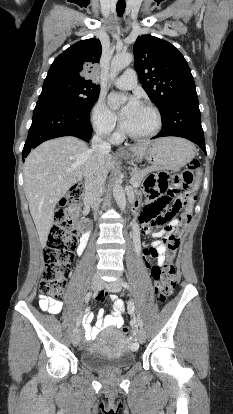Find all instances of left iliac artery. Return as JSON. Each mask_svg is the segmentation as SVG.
Masks as SVG:
<instances>
[{"label": "left iliac artery", "mask_w": 233, "mask_h": 414, "mask_svg": "<svg viewBox=\"0 0 233 414\" xmlns=\"http://www.w3.org/2000/svg\"><path fill=\"white\" fill-rule=\"evenodd\" d=\"M121 285H122L124 288L129 289V285L127 284V282L122 281V282H121ZM137 320H138V324H139V326H140V327H142V326H143V323H142V320H141V318H140V316H139V315L137 316Z\"/></svg>", "instance_id": "left-iliac-artery-1"}]
</instances>
